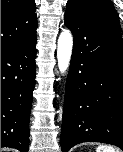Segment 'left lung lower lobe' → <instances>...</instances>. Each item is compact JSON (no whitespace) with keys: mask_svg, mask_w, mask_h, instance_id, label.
I'll return each instance as SVG.
<instances>
[{"mask_svg":"<svg viewBox=\"0 0 123 152\" xmlns=\"http://www.w3.org/2000/svg\"><path fill=\"white\" fill-rule=\"evenodd\" d=\"M74 36L67 76L62 152L82 142L123 150V40L80 12H65Z\"/></svg>","mask_w":123,"mask_h":152,"instance_id":"1","label":"left lung lower lobe"}]
</instances>
